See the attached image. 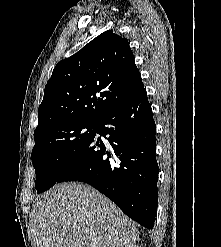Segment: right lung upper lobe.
Segmentation results:
<instances>
[{
	"label": "right lung upper lobe",
	"mask_w": 221,
	"mask_h": 247,
	"mask_svg": "<svg viewBox=\"0 0 221 247\" xmlns=\"http://www.w3.org/2000/svg\"><path fill=\"white\" fill-rule=\"evenodd\" d=\"M143 89L128 40L103 32L55 66L34 136L68 122L97 123Z\"/></svg>",
	"instance_id": "1"
}]
</instances>
